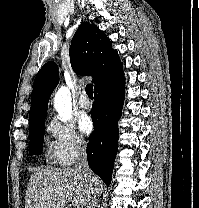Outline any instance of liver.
I'll use <instances>...</instances> for the list:
<instances>
[{"instance_id": "obj_1", "label": "liver", "mask_w": 199, "mask_h": 208, "mask_svg": "<svg viewBox=\"0 0 199 208\" xmlns=\"http://www.w3.org/2000/svg\"><path fill=\"white\" fill-rule=\"evenodd\" d=\"M103 191L97 177H85L73 168L37 169L27 185L25 208H64L67 203L81 208Z\"/></svg>"}]
</instances>
